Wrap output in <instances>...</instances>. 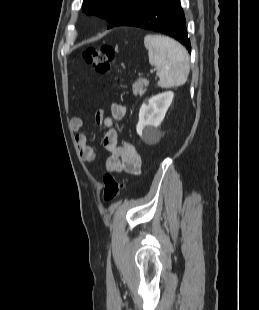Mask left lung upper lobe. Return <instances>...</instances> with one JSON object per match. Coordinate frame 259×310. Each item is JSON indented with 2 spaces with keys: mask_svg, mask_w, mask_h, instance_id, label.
Instances as JSON below:
<instances>
[{
  "mask_svg": "<svg viewBox=\"0 0 259 310\" xmlns=\"http://www.w3.org/2000/svg\"><path fill=\"white\" fill-rule=\"evenodd\" d=\"M149 0H83V12L96 15L108 21V28L115 24L131 9Z\"/></svg>",
  "mask_w": 259,
  "mask_h": 310,
  "instance_id": "left-lung-upper-lobe-1",
  "label": "left lung upper lobe"
}]
</instances>
